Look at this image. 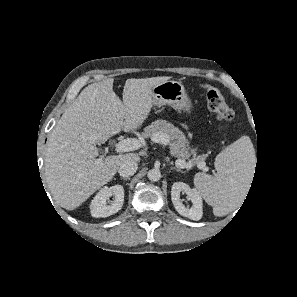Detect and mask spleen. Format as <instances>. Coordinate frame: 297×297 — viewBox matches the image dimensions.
I'll return each instance as SVG.
<instances>
[{"instance_id": "3e777b00", "label": "spleen", "mask_w": 297, "mask_h": 297, "mask_svg": "<svg viewBox=\"0 0 297 297\" xmlns=\"http://www.w3.org/2000/svg\"><path fill=\"white\" fill-rule=\"evenodd\" d=\"M254 147L242 136L219 153L215 159L217 174L198 173L194 182L215 216H223L236 208L239 198L250 184L256 164Z\"/></svg>"}]
</instances>
